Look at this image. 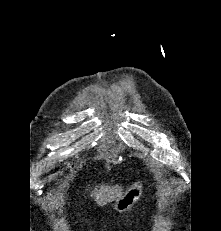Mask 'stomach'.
Here are the masks:
<instances>
[{"label": "stomach", "instance_id": "0dacf381", "mask_svg": "<svg viewBox=\"0 0 221 231\" xmlns=\"http://www.w3.org/2000/svg\"><path fill=\"white\" fill-rule=\"evenodd\" d=\"M141 195L142 184L136 182L128 188L124 195L113 203L112 207L117 212H126L134 206V204L140 199Z\"/></svg>", "mask_w": 221, "mask_h": 231}]
</instances>
